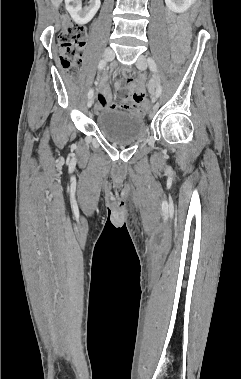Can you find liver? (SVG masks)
Here are the masks:
<instances>
[{"mask_svg": "<svg viewBox=\"0 0 241 379\" xmlns=\"http://www.w3.org/2000/svg\"><path fill=\"white\" fill-rule=\"evenodd\" d=\"M51 1L55 7H58L60 3L62 2V0H51Z\"/></svg>", "mask_w": 241, "mask_h": 379, "instance_id": "liver-1", "label": "liver"}]
</instances>
